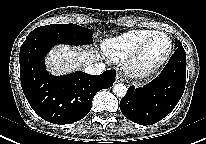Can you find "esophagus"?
<instances>
[{
  "mask_svg": "<svg viewBox=\"0 0 206 144\" xmlns=\"http://www.w3.org/2000/svg\"><path fill=\"white\" fill-rule=\"evenodd\" d=\"M123 80H124V79H123V77H122L121 74H117V75H116V82H118V83H119V82H123Z\"/></svg>",
  "mask_w": 206,
  "mask_h": 144,
  "instance_id": "1",
  "label": "esophagus"
}]
</instances>
